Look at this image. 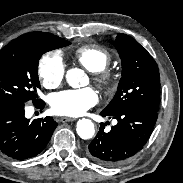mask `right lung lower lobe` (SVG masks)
I'll return each mask as SVG.
<instances>
[{"mask_svg":"<svg viewBox=\"0 0 183 183\" xmlns=\"http://www.w3.org/2000/svg\"><path fill=\"white\" fill-rule=\"evenodd\" d=\"M32 102L40 109L45 106L41 99ZM26 103L17 100L0 103V151L16 160L38 155L49 142L57 126L49 116L30 122L24 116Z\"/></svg>","mask_w":183,"mask_h":183,"instance_id":"right-lung-lower-lobe-1","label":"right lung lower lobe"}]
</instances>
